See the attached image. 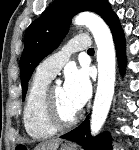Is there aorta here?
Masks as SVG:
<instances>
[{
  "mask_svg": "<svg viewBox=\"0 0 139 150\" xmlns=\"http://www.w3.org/2000/svg\"><path fill=\"white\" fill-rule=\"evenodd\" d=\"M74 24L88 27L97 45L98 86L90 122L92 135H97L107 118L114 95L115 46L108 25L97 14L82 12L75 17Z\"/></svg>",
  "mask_w": 139,
  "mask_h": 150,
  "instance_id": "762f6f07",
  "label": "aorta"
}]
</instances>
